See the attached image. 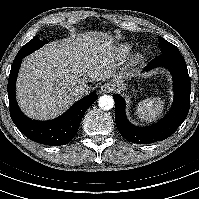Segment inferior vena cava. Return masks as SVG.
Listing matches in <instances>:
<instances>
[{"label": "inferior vena cava", "instance_id": "obj_1", "mask_svg": "<svg viewBox=\"0 0 199 199\" xmlns=\"http://www.w3.org/2000/svg\"><path fill=\"white\" fill-rule=\"evenodd\" d=\"M88 90V85L86 83H79L74 88V93L77 96L83 95Z\"/></svg>", "mask_w": 199, "mask_h": 199}]
</instances>
